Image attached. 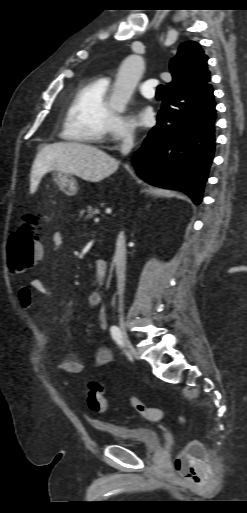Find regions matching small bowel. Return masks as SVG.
Returning a JSON list of instances; mask_svg holds the SVG:
<instances>
[{
  "label": "small bowel",
  "instance_id": "obj_1",
  "mask_svg": "<svg viewBox=\"0 0 247 513\" xmlns=\"http://www.w3.org/2000/svg\"><path fill=\"white\" fill-rule=\"evenodd\" d=\"M64 241L63 234L56 231L52 236V244L55 248L62 246ZM42 253V248H41ZM33 292H37L43 296L50 295V289L43 283L41 279L33 278L28 286H21L19 288L18 297L23 306L30 307L32 304ZM86 302L89 307L97 310L96 319L100 329L104 330L107 327V314L103 304V298L100 292L92 291L86 297ZM50 345V336L46 328L42 331V354H48ZM112 352L108 347H99L93 355V363L96 367H104L112 362ZM56 369L63 370L69 373H81L84 370V363L74 354H65L58 360L52 363Z\"/></svg>",
  "mask_w": 247,
  "mask_h": 513
}]
</instances>
